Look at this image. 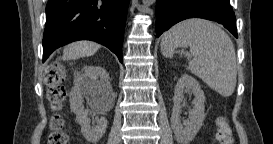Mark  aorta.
<instances>
[{
    "instance_id": "obj_1",
    "label": "aorta",
    "mask_w": 273,
    "mask_h": 144,
    "mask_svg": "<svg viewBox=\"0 0 273 144\" xmlns=\"http://www.w3.org/2000/svg\"><path fill=\"white\" fill-rule=\"evenodd\" d=\"M155 2V0H143V7L148 8L150 5H152Z\"/></svg>"
}]
</instances>
